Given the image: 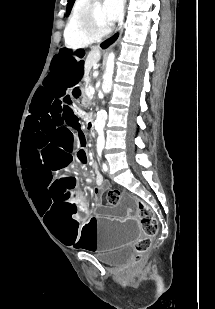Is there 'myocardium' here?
I'll use <instances>...</instances> for the list:
<instances>
[{
	"label": "myocardium",
	"mask_w": 215,
	"mask_h": 309,
	"mask_svg": "<svg viewBox=\"0 0 215 309\" xmlns=\"http://www.w3.org/2000/svg\"><path fill=\"white\" fill-rule=\"evenodd\" d=\"M94 6H86L84 9L77 10L76 12L79 13V16L82 17V22L78 23L82 25L81 31H83L84 37H95V38H103L104 34H109L110 30L114 28V20L113 19H106L102 23L105 27H99V22L96 19H91V15H89V11H94ZM79 31V30H77ZM90 45V44H85Z\"/></svg>",
	"instance_id": "f54148a6"
}]
</instances>
